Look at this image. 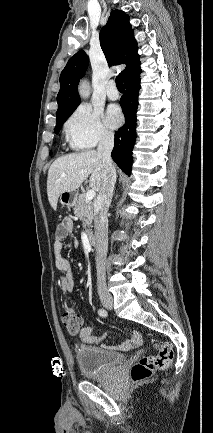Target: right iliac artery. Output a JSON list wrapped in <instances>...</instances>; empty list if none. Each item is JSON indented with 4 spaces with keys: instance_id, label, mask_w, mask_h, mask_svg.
I'll return each mask as SVG.
<instances>
[{
    "instance_id": "1",
    "label": "right iliac artery",
    "mask_w": 213,
    "mask_h": 433,
    "mask_svg": "<svg viewBox=\"0 0 213 433\" xmlns=\"http://www.w3.org/2000/svg\"><path fill=\"white\" fill-rule=\"evenodd\" d=\"M98 314L101 316V317H106L107 316V311L105 310V309H99L98 310Z\"/></svg>"
}]
</instances>
